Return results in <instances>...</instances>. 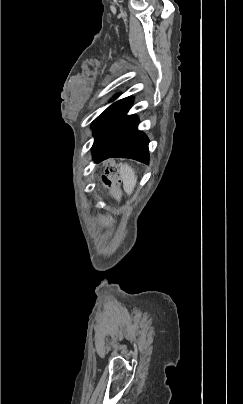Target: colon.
I'll list each match as a JSON object with an SVG mask.
<instances>
[{
  "instance_id": "colon-1",
  "label": "colon",
  "mask_w": 243,
  "mask_h": 404,
  "mask_svg": "<svg viewBox=\"0 0 243 404\" xmlns=\"http://www.w3.org/2000/svg\"><path fill=\"white\" fill-rule=\"evenodd\" d=\"M105 184L111 188L113 195L118 194V184L120 182L117 169L115 167H110L107 174L103 177Z\"/></svg>"
}]
</instances>
